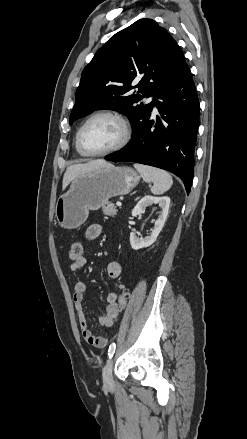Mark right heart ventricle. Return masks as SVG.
<instances>
[{
	"label": "right heart ventricle",
	"mask_w": 247,
	"mask_h": 439,
	"mask_svg": "<svg viewBox=\"0 0 247 439\" xmlns=\"http://www.w3.org/2000/svg\"><path fill=\"white\" fill-rule=\"evenodd\" d=\"M75 147H76V150L78 151V153L82 154V153L80 152L79 148H78V145H77V139H75Z\"/></svg>",
	"instance_id": "obj_1"
}]
</instances>
